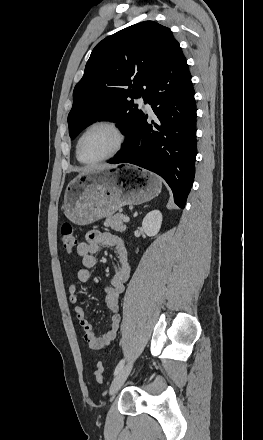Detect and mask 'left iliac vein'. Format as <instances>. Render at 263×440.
Listing matches in <instances>:
<instances>
[{"label":"left iliac vein","mask_w":263,"mask_h":440,"mask_svg":"<svg viewBox=\"0 0 263 440\" xmlns=\"http://www.w3.org/2000/svg\"><path fill=\"white\" fill-rule=\"evenodd\" d=\"M132 367H133V362L131 361L127 363L115 376V378L113 379L110 385V390H109L110 395H114L121 388V386L124 384L127 377L129 376Z\"/></svg>","instance_id":"4c4485c4"}]
</instances>
